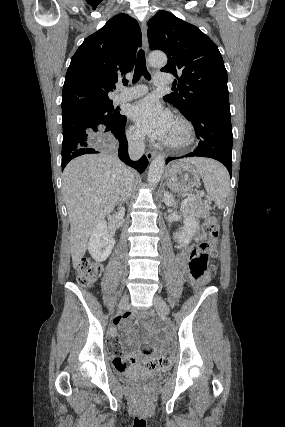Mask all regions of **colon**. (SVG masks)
Listing matches in <instances>:
<instances>
[{"instance_id":"colon-1","label":"colon","mask_w":285,"mask_h":427,"mask_svg":"<svg viewBox=\"0 0 285 427\" xmlns=\"http://www.w3.org/2000/svg\"><path fill=\"white\" fill-rule=\"evenodd\" d=\"M219 229L216 218L207 219L203 227L202 238L199 243L190 249L187 256V264L184 266V275L192 285H200L209 277V256L216 253L214 245L218 240ZM77 281L83 286H90L99 276L101 268L91 259L82 258L76 262ZM171 362L167 357H153L144 361L148 370H160L168 368ZM126 363H120V368L126 367Z\"/></svg>"}]
</instances>
